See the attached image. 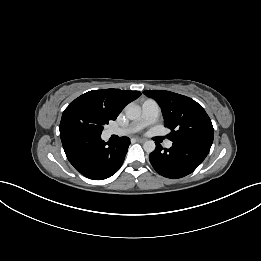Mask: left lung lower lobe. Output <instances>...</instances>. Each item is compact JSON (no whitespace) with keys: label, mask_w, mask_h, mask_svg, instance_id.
I'll list each match as a JSON object with an SVG mask.
<instances>
[{"label":"left lung lower lobe","mask_w":261,"mask_h":261,"mask_svg":"<svg viewBox=\"0 0 261 261\" xmlns=\"http://www.w3.org/2000/svg\"><path fill=\"white\" fill-rule=\"evenodd\" d=\"M211 146L192 142H173L172 147L163 149L156 143V149L149 160L157 173L177 179L192 173L206 158Z\"/></svg>","instance_id":"1"}]
</instances>
